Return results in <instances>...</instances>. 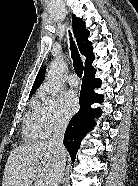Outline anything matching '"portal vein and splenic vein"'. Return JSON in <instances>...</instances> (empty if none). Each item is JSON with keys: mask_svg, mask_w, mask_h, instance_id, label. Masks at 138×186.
<instances>
[{"mask_svg": "<svg viewBox=\"0 0 138 186\" xmlns=\"http://www.w3.org/2000/svg\"><path fill=\"white\" fill-rule=\"evenodd\" d=\"M35 186H44L43 182L42 181H37L35 183Z\"/></svg>", "mask_w": 138, "mask_h": 186, "instance_id": "portal-vein-and-splenic-vein-1", "label": "portal vein and splenic vein"}]
</instances>
